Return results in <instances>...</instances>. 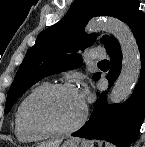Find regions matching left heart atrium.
<instances>
[{
	"label": "left heart atrium",
	"instance_id": "39dd6f15",
	"mask_svg": "<svg viewBox=\"0 0 145 147\" xmlns=\"http://www.w3.org/2000/svg\"><path fill=\"white\" fill-rule=\"evenodd\" d=\"M87 94H88V89L86 87H84L81 91H78V95L84 105H85Z\"/></svg>",
	"mask_w": 145,
	"mask_h": 147
}]
</instances>
